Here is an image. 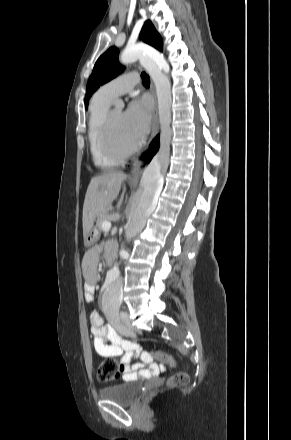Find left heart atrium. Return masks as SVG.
I'll return each instance as SVG.
<instances>
[{"label": "left heart atrium", "instance_id": "39dd6f15", "mask_svg": "<svg viewBox=\"0 0 291 440\" xmlns=\"http://www.w3.org/2000/svg\"><path fill=\"white\" fill-rule=\"evenodd\" d=\"M124 120L130 136L135 142H138L148 131L150 125V103L146 99L132 101L124 113Z\"/></svg>", "mask_w": 291, "mask_h": 440}]
</instances>
